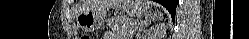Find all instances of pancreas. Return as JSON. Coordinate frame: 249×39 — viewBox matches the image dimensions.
Returning <instances> with one entry per match:
<instances>
[{
    "mask_svg": "<svg viewBox=\"0 0 249 39\" xmlns=\"http://www.w3.org/2000/svg\"><path fill=\"white\" fill-rule=\"evenodd\" d=\"M108 26L116 32L121 38H129L131 32L137 30L136 24H132L131 20L127 17H112L107 20Z\"/></svg>",
    "mask_w": 249,
    "mask_h": 39,
    "instance_id": "pancreas-1",
    "label": "pancreas"
}]
</instances>
